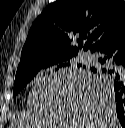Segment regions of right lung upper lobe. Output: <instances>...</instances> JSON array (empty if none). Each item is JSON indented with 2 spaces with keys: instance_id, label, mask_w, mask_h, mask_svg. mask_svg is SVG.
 Wrapping results in <instances>:
<instances>
[{
  "instance_id": "right-lung-upper-lobe-1",
  "label": "right lung upper lobe",
  "mask_w": 125,
  "mask_h": 128,
  "mask_svg": "<svg viewBox=\"0 0 125 128\" xmlns=\"http://www.w3.org/2000/svg\"><path fill=\"white\" fill-rule=\"evenodd\" d=\"M123 28V0H57L30 28L17 71L53 58L71 59L80 49L92 52ZM73 39L78 46L71 45Z\"/></svg>"
}]
</instances>
